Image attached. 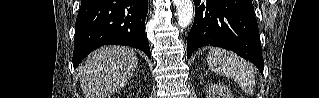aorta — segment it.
<instances>
[{
  "label": "aorta",
  "mask_w": 319,
  "mask_h": 98,
  "mask_svg": "<svg viewBox=\"0 0 319 98\" xmlns=\"http://www.w3.org/2000/svg\"><path fill=\"white\" fill-rule=\"evenodd\" d=\"M174 4L177 9L178 25L181 28H186L193 19L192 0H174Z\"/></svg>",
  "instance_id": "aorta-1"
}]
</instances>
